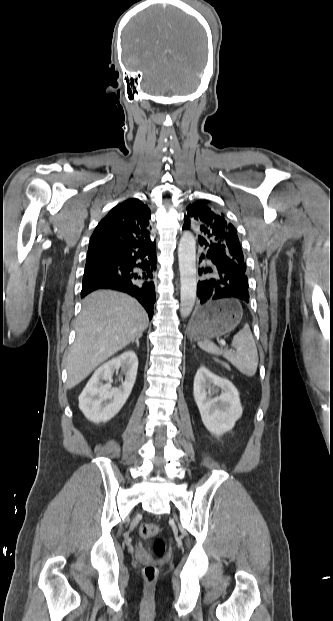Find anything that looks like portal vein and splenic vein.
Here are the masks:
<instances>
[{
  "label": "portal vein and splenic vein",
  "mask_w": 333,
  "mask_h": 621,
  "mask_svg": "<svg viewBox=\"0 0 333 621\" xmlns=\"http://www.w3.org/2000/svg\"><path fill=\"white\" fill-rule=\"evenodd\" d=\"M220 344H221L222 346H225V345H226L225 341H223V340H221V341H220Z\"/></svg>",
  "instance_id": "1"
}]
</instances>
